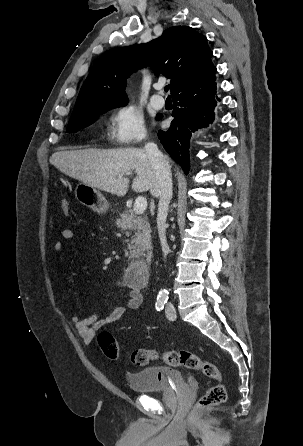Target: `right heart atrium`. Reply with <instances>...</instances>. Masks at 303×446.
I'll use <instances>...</instances> for the list:
<instances>
[{
	"mask_svg": "<svg viewBox=\"0 0 303 446\" xmlns=\"http://www.w3.org/2000/svg\"><path fill=\"white\" fill-rule=\"evenodd\" d=\"M146 127L142 112L133 104L118 106L112 113L108 131L109 140L117 145H129L146 137Z\"/></svg>",
	"mask_w": 303,
	"mask_h": 446,
	"instance_id": "right-heart-atrium-1",
	"label": "right heart atrium"
}]
</instances>
